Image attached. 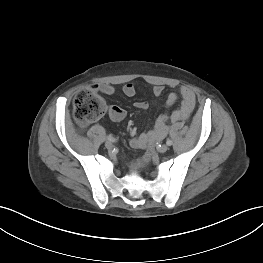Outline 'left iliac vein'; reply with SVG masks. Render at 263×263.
I'll return each instance as SVG.
<instances>
[{
	"mask_svg": "<svg viewBox=\"0 0 263 263\" xmlns=\"http://www.w3.org/2000/svg\"><path fill=\"white\" fill-rule=\"evenodd\" d=\"M168 150V146L166 144H163L161 145L159 148H158V151L160 153H165L166 151Z\"/></svg>",
	"mask_w": 263,
	"mask_h": 263,
	"instance_id": "1",
	"label": "left iliac vein"
}]
</instances>
